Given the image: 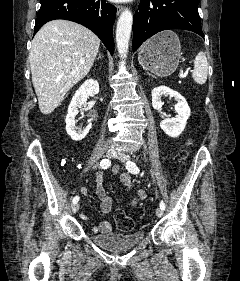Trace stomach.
<instances>
[{"label": "stomach", "mask_w": 240, "mask_h": 281, "mask_svg": "<svg viewBox=\"0 0 240 281\" xmlns=\"http://www.w3.org/2000/svg\"><path fill=\"white\" fill-rule=\"evenodd\" d=\"M181 45L173 31H163L150 38L139 50L141 66L152 73L166 77L178 67Z\"/></svg>", "instance_id": "0dacf381"}]
</instances>
